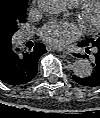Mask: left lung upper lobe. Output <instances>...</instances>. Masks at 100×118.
<instances>
[{
  "label": "left lung upper lobe",
  "mask_w": 100,
  "mask_h": 118,
  "mask_svg": "<svg viewBox=\"0 0 100 118\" xmlns=\"http://www.w3.org/2000/svg\"><path fill=\"white\" fill-rule=\"evenodd\" d=\"M100 41V36H98L97 38H90L86 41H84L85 43H89V44H93V43H97Z\"/></svg>",
  "instance_id": "1"
}]
</instances>
